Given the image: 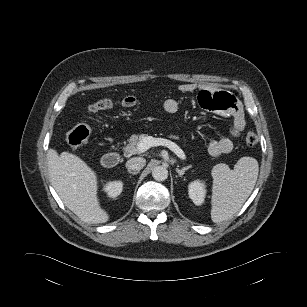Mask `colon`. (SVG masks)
Listing matches in <instances>:
<instances>
[{"label": "colon", "instance_id": "1", "mask_svg": "<svg viewBox=\"0 0 307 307\" xmlns=\"http://www.w3.org/2000/svg\"><path fill=\"white\" fill-rule=\"evenodd\" d=\"M136 103V99L134 97H125L120 100V104L122 106H133ZM113 106V101L109 98H102L89 106V110L91 112H96L100 110H105ZM90 137V130L89 128L82 124L74 127L67 135V142L68 144L74 148H80L84 146ZM245 142L248 146L252 147L255 146L258 142V135L254 131H248L245 136Z\"/></svg>", "mask_w": 307, "mask_h": 307}]
</instances>
